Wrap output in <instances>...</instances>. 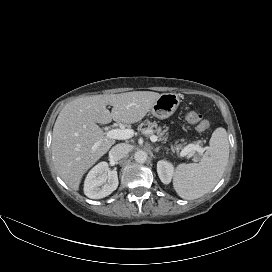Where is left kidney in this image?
Listing matches in <instances>:
<instances>
[{"label": "left kidney", "mask_w": 272, "mask_h": 272, "mask_svg": "<svg viewBox=\"0 0 272 272\" xmlns=\"http://www.w3.org/2000/svg\"><path fill=\"white\" fill-rule=\"evenodd\" d=\"M157 173L162 183L169 184L174 174V167L171 163L160 160L157 163Z\"/></svg>", "instance_id": "1"}]
</instances>
